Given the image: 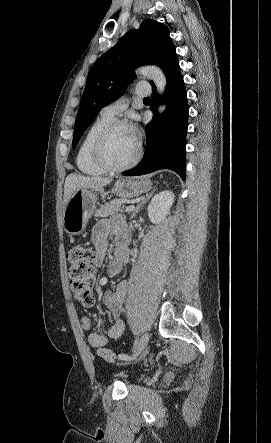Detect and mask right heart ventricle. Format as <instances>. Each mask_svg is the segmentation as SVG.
<instances>
[{"label":"right heart ventricle","instance_id":"obj_1","mask_svg":"<svg viewBox=\"0 0 271 443\" xmlns=\"http://www.w3.org/2000/svg\"><path fill=\"white\" fill-rule=\"evenodd\" d=\"M112 119L113 116L101 114L86 130L75 155V164L81 173L88 176H100L106 172V170L95 161L92 149L100 131Z\"/></svg>","mask_w":271,"mask_h":443}]
</instances>
